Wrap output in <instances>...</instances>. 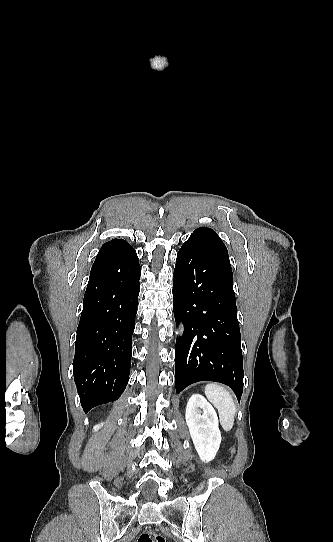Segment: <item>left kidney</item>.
I'll return each instance as SVG.
<instances>
[{"label":"left kidney","mask_w":333,"mask_h":542,"mask_svg":"<svg viewBox=\"0 0 333 542\" xmlns=\"http://www.w3.org/2000/svg\"><path fill=\"white\" fill-rule=\"evenodd\" d=\"M185 420L200 460L205 464L214 460L221 444L219 422L214 408L201 394L189 398Z\"/></svg>","instance_id":"left-kidney-1"}]
</instances>
